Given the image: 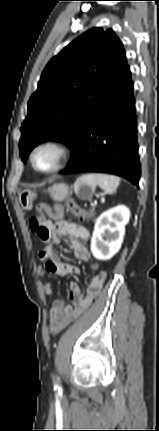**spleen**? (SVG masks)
Returning a JSON list of instances; mask_svg holds the SVG:
<instances>
[{
	"label": "spleen",
	"instance_id": "spleen-1",
	"mask_svg": "<svg viewBox=\"0 0 159 431\" xmlns=\"http://www.w3.org/2000/svg\"><path fill=\"white\" fill-rule=\"evenodd\" d=\"M81 180L94 187L99 186L108 194L114 193L120 184L119 177L108 174H86L81 177Z\"/></svg>",
	"mask_w": 159,
	"mask_h": 431
}]
</instances>
